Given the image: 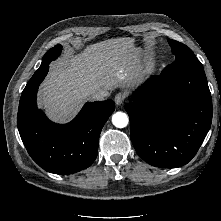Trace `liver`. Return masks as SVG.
<instances>
[{
  "label": "liver",
  "mask_w": 221,
  "mask_h": 221,
  "mask_svg": "<svg viewBox=\"0 0 221 221\" xmlns=\"http://www.w3.org/2000/svg\"><path fill=\"white\" fill-rule=\"evenodd\" d=\"M134 39L117 38L65 55L51 65L39 92V102L59 122L69 120L97 89L131 87L140 70Z\"/></svg>",
  "instance_id": "liver-1"
}]
</instances>
